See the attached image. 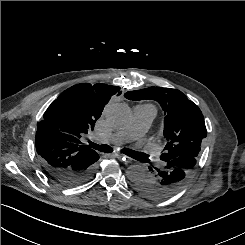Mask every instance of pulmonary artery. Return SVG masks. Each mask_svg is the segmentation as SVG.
<instances>
[{"label": "pulmonary artery", "instance_id": "e3ab8cb5", "mask_svg": "<svg viewBox=\"0 0 245 245\" xmlns=\"http://www.w3.org/2000/svg\"><path fill=\"white\" fill-rule=\"evenodd\" d=\"M156 114L157 110L153 105L135 106L131 123L123 130L111 135L108 140L119 145L140 137L148 130Z\"/></svg>", "mask_w": 245, "mask_h": 245}]
</instances>
